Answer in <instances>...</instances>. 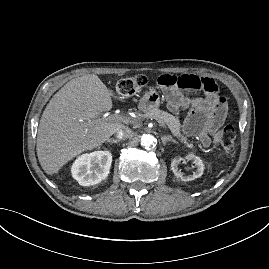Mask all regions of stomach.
Wrapping results in <instances>:
<instances>
[{
	"mask_svg": "<svg viewBox=\"0 0 269 269\" xmlns=\"http://www.w3.org/2000/svg\"><path fill=\"white\" fill-rule=\"evenodd\" d=\"M161 98L156 90H150L140 100L139 107L144 112L157 109L160 106Z\"/></svg>",
	"mask_w": 269,
	"mask_h": 269,
	"instance_id": "0dacf381",
	"label": "stomach"
}]
</instances>
